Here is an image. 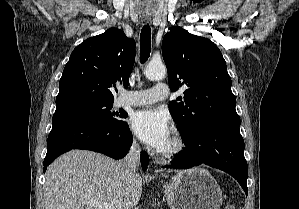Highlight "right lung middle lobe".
<instances>
[{
	"mask_svg": "<svg viewBox=\"0 0 299 209\" xmlns=\"http://www.w3.org/2000/svg\"><path fill=\"white\" fill-rule=\"evenodd\" d=\"M113 102H69L56 105V111H66L93 120L96 123L117 126L123 123L120 118H126L124 111L111 112Z\"/></svg>",
	"mask_w": 299,
	"mask_h": 209,
	"instance_id": "dd1d6c3e",
	"label": "right lung middle lobe"
}]
</instances>
